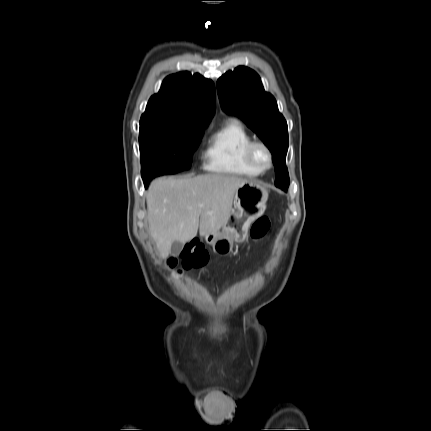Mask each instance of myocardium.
I'll return each instance as SVG.
<instances>
[{
  "label": "myocardium",
  "instance_id": "1",
  "mask_svg": "<svg viewBox=\"0 0 431 431\" xmlns=\"http://www.w3.org/2000/svg\"><path fill=\"white\" fill-rule=\"evenodd\" d=\"M257 149H262L267 154L266 163L262 164V163L257 161V159L255 157V152ZM244 156H245V160L247 161V163L249 165L258 169L261 172L270 169L273 165V153H272L271 149L269 148V146L262 141L250 142L246 146Z\"/></svg>",
  "mask_w": 431,
  "mask_h": 431
}]
</instances>
